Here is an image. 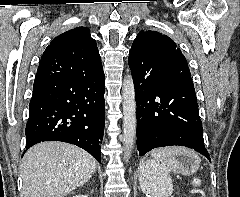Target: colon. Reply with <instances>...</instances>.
Returning <instances> with one entry per match:
<instances>
[{"instance_id":"1","label":"colon","mask_w":240,"mask_h":197,"mask_svg":"<svg viewBox=\"0 0 240 197\" xmlns=\"http://www.w3.org/2000/svg\"><path fill=\"white\" fill-rule=\"evenodd\" d=\"M194 184H195V185H198V184H199V180H198V179H195V180H194Z\"/></svg>"}]
</instances>
